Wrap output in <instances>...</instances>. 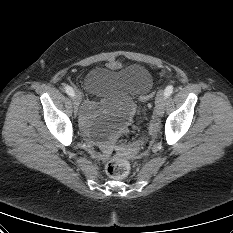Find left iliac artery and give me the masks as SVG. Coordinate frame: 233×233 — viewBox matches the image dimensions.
Listing matches in <instances>:
<instances>
[{"label": "left iliac artery", "mask_w": 233, "mask_h": 233, "mask_svg": "<svg viewBox=\"0 0 233 233\" xmlns=\"http://www.w3.org/2000/svg\"><path fill=\"white\" fill-rule=\"evenodd\" d=\"M174 87L172 85H169L166 87L164 94L166 97L170 96L173 92Z\"/></svg>", "instance_id": "44dca946"}]
</instances>
